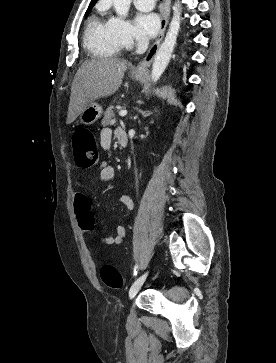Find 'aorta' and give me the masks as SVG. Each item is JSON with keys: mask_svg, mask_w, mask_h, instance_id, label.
<instances>
[{"mask_svg": "<svg viewBox=\"0 0 276 363\" xmlns=\"http://www.w3.org/2000/svg\"><path fill=\"white\" fill-rule=\"evenodd\" d=\"M130 4L131 0H113L114 9L117 15L121 18H125L128 15ZM179 9L180 4L177 2L173 7V18L171 20L166 37L154 58L151 70V80L154 83L160 79L174 51L180 29L181 12Z\"/></svg>", "mask_w": 276, "mask_h": 363, "instance_id": "762f6f07", "label": "aorta"}]
</instances>
